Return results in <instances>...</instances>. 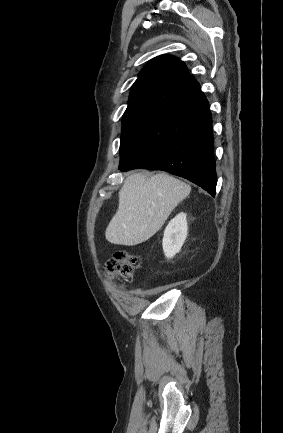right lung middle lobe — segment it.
<instances>
[{"label":"right lung middle lobe","mask_w":283,"mask_h":433,"mask_svg":"<svg viewBox=\"0 0 283 433\" xmlns=\"http://www.w3.org/2000/svg\"><path fill=\"white\" fill-rule=\"evenodd\" d=\"M161 113L151 110L126 109L122 120L120 152L135 138V136L154 118Z\"/></svg>","instance_id":"right-lung-middle-lobe-1"}]
</instances>
